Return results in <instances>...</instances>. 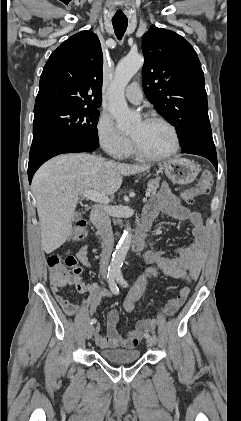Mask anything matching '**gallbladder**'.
I'll return each instance as SVG.
<instances>
[{
    "instance_id": "gallbladder-1",
    "label": "gallbladder",
    "mask_w": 241,
    "mask_h": 421,
    "mask_svg": "<svg viewBox=\"0 0 241 421\" xmlns=\"http://www.w3.org/2000/svg\"><path fill=\"white\" fill-rule=\"evenodd\" d=\"M81 213L80 212H75L74 216H73V222H77L78 220L81 219Z\"/></svg>"
}]
</instances>
